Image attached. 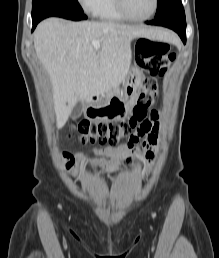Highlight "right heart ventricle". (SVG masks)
Instances as JSON below:
<instances>
[{"mask_svg": "<svg viewBox=\"0 0 219 258\" xmlns=\"http://www.w3.org/2000/svg\"><path fill=\"white\" fill-rule=\"evenodd\" d=\"M93 14L108 21H121L125 18L119 13L115 0H99L93 10Z\"/></svg>", "mask_w": 219, "mask_h": 258, "instance_id": "right-heart-ventricle-1", "label": "right heart ventricle"}]
</instances>
